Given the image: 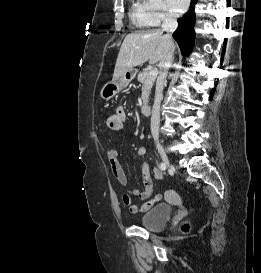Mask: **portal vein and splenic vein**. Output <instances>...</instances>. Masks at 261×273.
<instances>
[{
	"label": "portal vein and splenic vein",
	"instance_id": "portal-vein-and-splenic-vein-1",
	"mask_svg": "<svg viewBox=\"0 0 261 273\" xmlns=\"http://www.w3.org/2000/svg\"><path fill=\"white\" fill-rule=\"evenodd\" d=\"M157 74H158V69L157 68L153 67L152 69H150V71H149L150 76H155L156 77Z\"/></svg>",
	"mask_w": 261,
	"mask_h": 273
}]
</instances>
